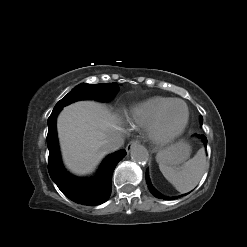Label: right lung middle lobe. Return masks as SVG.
I'll return each instance as SVG.
<instances>
[{
	"instance_id": "right-lung-middle-lobe-1",
	"label": "right lung middle lobe",
	"mask_w": 247,
	"mask_h": 247,
	"mask_svg": "<svg viewBox=\"0 0 247 247\" xmlns=\"http://www.w3.org/2000/svg\"><path fill=\"white\" fill-rule=\"evenodd\" d=\"M117 83H102V84H80L61 99L55 107H64L72 102L93 99L98 101H109L118 91Z\"/></svg>"
}]
</instances>
